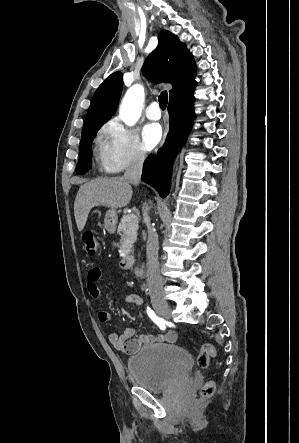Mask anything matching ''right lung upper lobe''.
Wrapping results in <instances>:
<instances>
[{
    "label": "right lung upper lobe",
    "instance_id": "1",
    "mask_svg": "<svg viewBox=\"0 0 299 443\" xmlns=\"http://www.w3.org/2000/svg\"><path fill=\"white\" fill-rule=\"evenodd\" d=\"M157 48L147 57L143 74L156 81L160 71L165 83H172L169 95L194 82L196 66L186 46L167 30L159 34ZM121 72L111 74L96 90L89 107L82 134L100 127L114 114L123 86Z\"/></svg>",
    "mask_w": 299,
    "mask_h": 443
}]
</instances>
